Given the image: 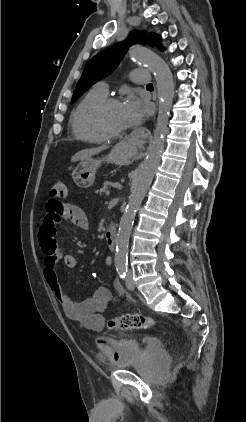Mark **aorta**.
<instances>
[{
  "instance_id": "762f6f07",
  "label": "aorta",
  "mask_w": 246,
  "mask_h": 422,
  "mask_svg": "<svg viewBox=\"0 0 246 422\" xmlns=\"http://www.w3.org/2000/svg\"><path fill=\"white\" fill-rule=\"evenodd\" d=\"M134 62L144 64L154 74L158 92V117L154 130V138L144 162L137 169L128 204L120 220L117 240L115 265L124 269L127 262L129 238L137 210L145 197L154 175L159 166L165 146V137L168 131V117L174 97V81L169 66L155 53L142 47H135L130 51Z\"/></svg>"
}]
</instances>
